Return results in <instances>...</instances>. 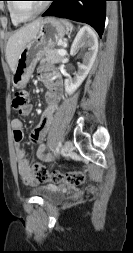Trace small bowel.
<instances>
[{
    "label": "small bowel",
    "mask_w": 133,
    "mask_h": 253,
    "mask_svg": "<svg viewBox=\"0 0 133 253\" xmlns=\"http://www.w3.org/2000/svg\"><path fill=\"white\" fill-rule=\"evenodd\" d=\"M41 78L47 86V92L45 94V100L48 104L47 108L42 114L39 124L36 126L32 133V140L39 143L37 149V156L39 159L53 164L56 161V156L53 153H47V145L43 142L49 128L53 121V115L56 112L59 101L62 97V83L59 76L52 70L49 65H42L39 68ZM32 112V105L27 104L20 114L24 117L29 116ZM11 128L13 130V139L15 143V156L17 160L18 173L23 183L26 185H35L39 183L33 173L29 161L25 157V150L23 149L21 142L24 136L23 123L20 119H13L11 121Z\"/></svg>",
    "instance_id": "1"
}]
</instances>
